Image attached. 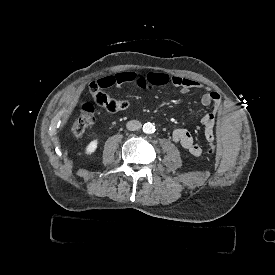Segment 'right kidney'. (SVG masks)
Instances as JSON below:
<instances>
[{
    "label": "right kidney",
    "mask_w": 275,
    "mask_h": 275,
    "mask_svg": "<svg viewBox=\"0 0 275 275\" xmlns=\"http://www.w3.org/2000/svg\"><path fill=\"white\" fill-rule=\"evenodd\" d=\"M98 145H99V141L97 138L90 140L84 148L85 155L91 156L95 154L98 149Z\"/></svg>",
    "instance_id": "obj_1"
}]
</instances>
